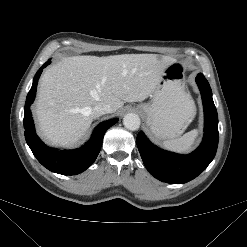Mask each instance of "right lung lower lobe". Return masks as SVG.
Wrapping results in <instances>:
<instances>
[{
  "label": "right lung lower lobe",
  "mask_w": 247,
  "mask_h": 247,
  "mask_svg": "<svg viewBox=\"0 0 247 247\" xmlns=\"http://www.w3.org/2000/svg\"><path fill=\"white\" fill-rule=\"evenodd\" d=\"M49 63L50 61H47L36 73L33 79V85L26 98L24 113L25 138L34 156L45 168L62 175H76L92 165L100 152L106 130L117 123L118 119L115 118L99 124L95 128L88 143L79 149L69 151L47 147L35 133L29 107L34 101L37 83L42 69Z\"/></svg>",
  "instance_id": "98d812e1"
}]
</instances>
